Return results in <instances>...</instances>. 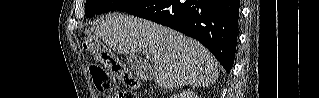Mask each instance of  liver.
Instances as JSON below:
<instances>
[{"mask_svg": "<svg viewBox=\"0 0 319 98\" xmlns=\"http://www.w3.org/2000/svg\"><path fill=\"white\" fill-rule=\"evenodd\" d=\"M117 54L148 51L154 62L151 76L164 89L184 85L207 87L218 79L212 54L198 41L148 20L109 14L91 28Z\"/></svg>", "mask_w": 319, "mask_h": 98, "instance_id": "liver-1", "label": "liver"}]
</instances>
